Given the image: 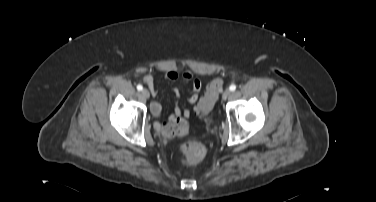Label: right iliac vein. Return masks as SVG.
Returning a JSON list of instances; mask_svg holds the SVG:
<instances>
[{"label": "right iliac vein", "instance_id": "63e3f726", "mask_svg": "<svg viewBox=\"0 0 376 202\" xmlns=\"http://www.w3.org/2000/svg\"><path fill=\"white\" fill-rule=\"evenodd\" d=\"M141 95L145 98V99H148L150 97V93L147 89H143L141 91Z\"/></svg>", "mask_w": 376, "mask_h": 202}]
</instances>
